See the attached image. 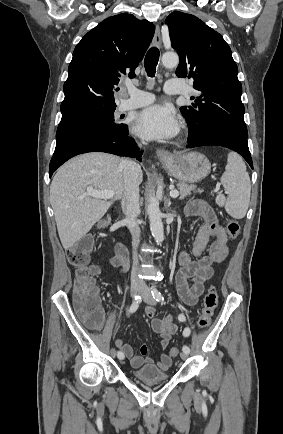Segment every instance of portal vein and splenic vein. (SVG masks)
<instances>
[{
    "instance_id": "obj_1",
    "label": "portal vein and splenic vein",
    "mask_w": 283,
    "mask_h": 434,
    "mask_svg": "<svg viewBox=\"0 0 283 434\" xmlns=\"http://www.w3.org/2000/svg\"><path fill=\"white\" fill-rule=\"evenodd\" d=\"M87 195L93 198H101V199H111L114 196V193L109 190L97 191V190H88ZM170 196L172 198H177L179 196V192L177 190L172 189L170 191Z\"/></svg>"
}]
</instances>
